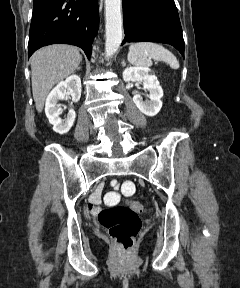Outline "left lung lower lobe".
<instances>
[{
    "instance_id": "0a47b994",
    "label": "left lung lower lobe",
    "mask_w": 240,
    "mask_h": 288,
    "mask_svg": "<svg viewBox=\"0 0 240 288\" xmlns=\"http://www.w3.org/2000/svg\"><path fill=\"white\" fill-rule=\"evenodd\" d=\"M126 42L151 41L174 46L184 57V40L174 0H123Z\"/></svg>"
}]
</instances>
